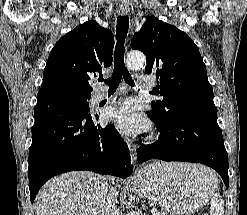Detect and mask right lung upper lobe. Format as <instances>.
<instances>
[{
    "instance_id": "obj_1",
    "label": "right lung upper lobe",
    "mask_w": 247,
    "mask_h": 215,
    "mask_svg": "<svg viewBox=\"0 0 247 215\" xmlns=\"http://www.w3.org/2000/svg\"><path fill=\"white\" fill-rule=\"evenodd\" d=\"M114 36L95 21L65 34L53 47L43 73L42 89L62 88L90 95L89 80L112 64Z\"/></svg>"
}]
</instances>
